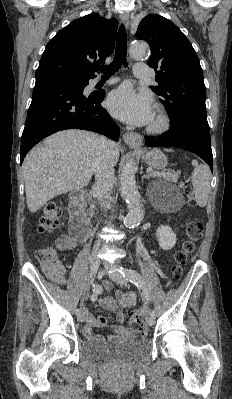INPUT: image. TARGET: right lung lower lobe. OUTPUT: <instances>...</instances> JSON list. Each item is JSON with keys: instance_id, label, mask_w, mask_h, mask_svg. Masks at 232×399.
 <instances>
[{"instance_id": "98d812e1", "label": "right lung lower lobe", "mask_w": 232, "mask_h": 399, "mask_svg": "<svg viewBox=\"0 0 232 399\" xmlns=\"http://www.w3.org/2000/svg\"><path fill=\"white\" fill-rule=\"evenodd\" d=\"M73 79H36L21 137L20 163L35 144L60 130H91L118 141L120 130L100 105L104 92L85 95L83 91L88 82L80 83Z\"/></svg>"}]
</instances>
